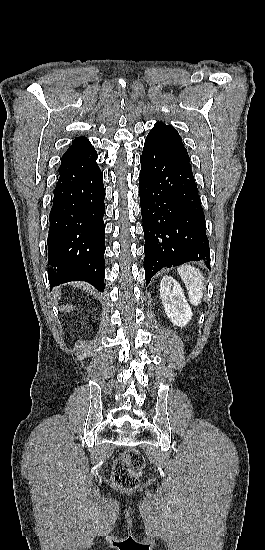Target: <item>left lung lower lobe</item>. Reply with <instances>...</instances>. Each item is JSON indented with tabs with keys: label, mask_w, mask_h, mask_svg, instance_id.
Wrapping results in <instances>:
<instances>
[{
	"label": "left lung lower lobe",
	"mask_w": 265,
	"mask_h": 550,
	"mask_svg": "<svg viewBox=\"0 0 265 550\" xmlns=\"http://www.w3.org/2000/svg\"><path fill=\"white\" fill-rule=\"evenodd\" d=\"M139 195L146 285L162 268L209 259L204 212L188 160L145 142Z\"/></svg>",
	"instance_id": "left-lung-lower-lobe-1"
}]
</instances>
